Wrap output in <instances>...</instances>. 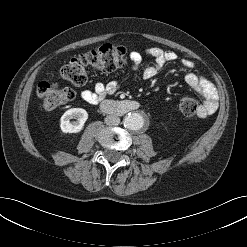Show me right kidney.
I'll return each mask as SVG.
<instances>
[{"instance_id": "obj_1", "label": "right kidney", "mask_w": 247, "mask_h": 247, "mask_svg": "<svg viewBox=\"0 0 247 247\" xmlns=\"http://www.w3.org/2000/svg\"><path fill=\"white\" fill-rule=\"evenodd\" d=\"M71 119H76L72 121ZM88 119V113L82 108H71L67 110L60 119V127L64 133H78L82 130Z\"/></svg>"}]
</instances>
